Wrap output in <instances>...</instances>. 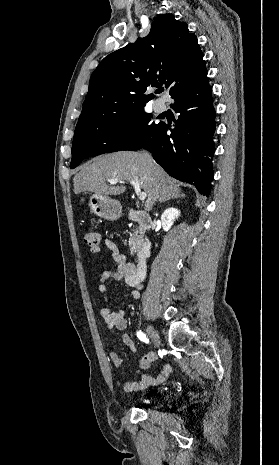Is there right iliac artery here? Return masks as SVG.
<instances>
[{"mask_svg":"<svg viewBox=\"0 0 279 465\" xmlns=\"http://www.w3.org/2000/svg\"><path fill=\"white\" fill-rule=\"evenodd\" d=\"M137 337L145 343L149 342V339L147 338V336L141 331L137 332Z\"/></svg>","mask_w":279,"mask_h":465,"instance_id":"82829eb1","label":"right iliac artery"}]
</instances>
